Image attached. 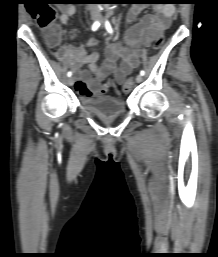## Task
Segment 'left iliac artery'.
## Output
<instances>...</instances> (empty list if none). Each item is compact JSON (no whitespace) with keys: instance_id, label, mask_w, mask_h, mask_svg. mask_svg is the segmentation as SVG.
Returning <instances> with one entry per match:
<instances>
[{"instance_id":"obj_1","label":"left iliac artery","mask_w":218,"mask_h":257,"mask_svg":"<svg viewBox=\"0 0 218 257\" xmlns=\"http://www.w3.org/2000/svg\"><path fill=\"white\" fill-rule=\"evenodd\" d=\"M105 27H106V30L110 33V34H113V29H112V26L110 24V22L107 20L106 23H105ZM140 74L143 76L145 74L144 70H141L140 71Z\"/></svg>"}]
</instances>
